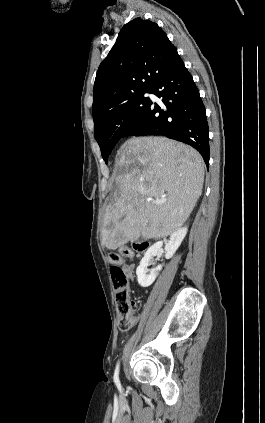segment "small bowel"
<instances>
[{
  "label": "small bowel",
  "mask_w": 265,
  "mask_h": 423,
  "mask_svg": "<svg viewBox=\"0 0 265 423\" xmlns=\"http://www.w3.org/2000/svg\"><path fill=\"white\" fill-rule=\"evenodd\" d=\"M124 271L126 272L127 276L132 279L133 278V266L132 265H125L123 267Z\"/></svg>",
  "instance_id": "c3829d8e"
}]
</instances>
